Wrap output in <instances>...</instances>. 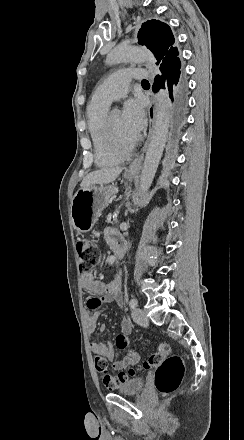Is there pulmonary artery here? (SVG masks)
<instances>
[{"label": "pulmonary artery", "instance_id": "pulmonary-artery-1", "mask_svg": "<svg viewBox=\"0 0 244 440\" xmlns=\"http://www.w3.org/2000/svg\"><path fill=\"white\" fill-rule=\"evenodd\" d=\"M148 76L147 69H112L108 82H101L100 90L93 91L92 101L111 104L114 100L126 95L129 78H147Z\"/></svg>", "mask_w": 244, "mask_h": 440}]
</instances>
